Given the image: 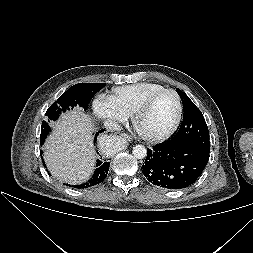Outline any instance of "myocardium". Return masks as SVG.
<instances>
[{
    "mask_svg": "<svg viewBox=\"0 0 253 253\" xmlns=\"http://www.w3.org/2000/svg\"><path fill=\"white\" fill-rule=\"evenodd\" d=\"M165 93L173 94L175 97V100H176L177 114H176V117H175L173 123L165 132H163L159 135H147V134L142 133L138 128V122H139L140 118L149 110V108L154 103V101L158 97H160L161 95H163ZM182 114H183V107H182V102H181V98H180L179 94L173 89L164 88V89L150 95L140 104V106L137 108V110L135 111V113L132 116V124H133L134 128L137 130V132L144 139L151 141V142H158V141H162V140L168 138L170 135H172L174 133V131L179 126V123L182 118Z\"/></svg>",
    "mask_w": 253,
    "mask_h": 253,
    "instance_id": "myocardium-1",
    "label": "myocardium"
}]
</instances>
